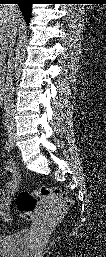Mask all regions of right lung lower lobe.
<instances>
[{"instance_id": "98d812e1", "label": "right lung lower lobe", "mask_w": 106, "mask_h": 257, "mask_svg": "<svg viewBox=\"0 0 106 257\" xmlns=\"http://www.w3.org/2000/svg\"><path fill=\"white\" fill-rule=\"evenodd\" d=\"M0 3L18 4L26 22H29L31 4L33 3V0H0Z\"/></svg>"}]
</instances>
